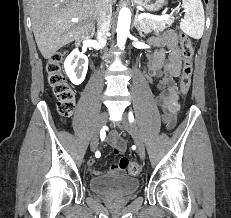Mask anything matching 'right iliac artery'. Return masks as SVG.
<instances>
[{
	"mask_svg": "<svg viewBox=\"0 0 231 218\" xmlns=\"http://www.w3.org/2000/svg\"><path fill=\"white\" fill-rule=\"evenodd\" d=\"M100 137H101V140H104V139H105V137H106L105 129H102V130L100 131ZM95 156H96L97 158H99V157L101 156V153H100L99 151H97V152L95 153Z\"/></svg>",
	"mask_w": 231,
	"mask_h": 218,
	"instance_id": "1",
	"label": "right iliac artery"
}]
</instances>
